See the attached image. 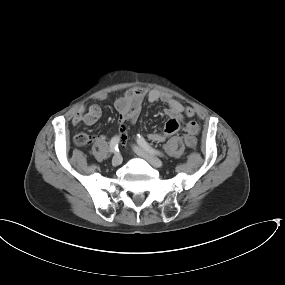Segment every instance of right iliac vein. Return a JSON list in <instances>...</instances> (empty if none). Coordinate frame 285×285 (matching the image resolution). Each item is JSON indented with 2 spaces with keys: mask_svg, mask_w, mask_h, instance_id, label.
I'll return each mask as SVG.
<instances>
[{
  "mask_svg": "<svg viewBox=\"0 0 285 285\" xmlns=\"http://www.w3.org/2000/svg\"><path fill=\"white\" fill-rule=\"evenodd\" d=\"M122 156L120 154H116L113 158H112V164L114 166H118L122 163Z\"/></svg>",
  "mask_w": 285,
  "mask_h": 285,
  "instance_id": "63e3f726",
  "label": "right iliac vein"
}]
</instances>
